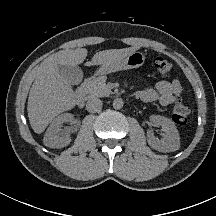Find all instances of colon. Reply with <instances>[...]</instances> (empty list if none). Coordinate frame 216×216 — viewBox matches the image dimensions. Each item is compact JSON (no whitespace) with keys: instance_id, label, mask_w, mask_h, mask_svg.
<instances>
[{"instance_id":"1","label":"colon","mask_w":216,"mask_h":216,"mask_svg":"<svg viewBox=\"0 0 216 216\" xmlns=\"http://www.w3.org/2000/svg\"><path fill=\"white\" fill-rule=\"evenodd\" d=\"M153 65L156 74L160 77L168 76L173 68L172 62L164 57L155 58ZM189 117V107L183 102L182 99H176L173 105V121L179 126H184L187 124Z\"/></svg>"}]
</instances>
